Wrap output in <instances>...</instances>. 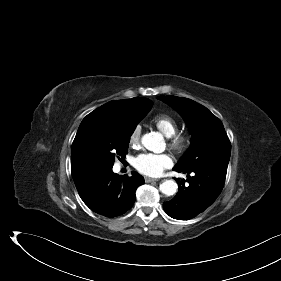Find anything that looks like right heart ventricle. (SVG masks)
Segmentation results:
<instances>
[{"label":"right heart ventricle","mask_w":281,"mask_h":281,"mask_svg":"<svg viewBox=\"0 0 281 281\" xmlns=\"http://www.w3.org/2000/svg\"><path fill=\"white\" fill-rule=\"evenodd\" d=\"M153 123L166 137L177 133L178 124L170 115L158 114L153 118Z\"/></svg>","instance_id":"obj_1"}]
</instances>
